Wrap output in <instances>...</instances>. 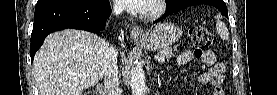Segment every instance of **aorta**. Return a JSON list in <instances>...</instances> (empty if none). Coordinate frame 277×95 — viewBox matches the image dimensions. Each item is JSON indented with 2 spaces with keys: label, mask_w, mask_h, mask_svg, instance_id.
Segmentation results:
<instances>
[{
  "label": "aorta",
  "mask_w": 277,
  "mask_h": 95,
  "mask_svg": "<svg viewBox=\"0 0 277 95\" xmlns=\"http://www.w3.org/2000/svg\"><path fill=\"white\" fill-rule=\"evenodd\" d=\"M145 81V74L142 66L140 64L133 65L130 78L132 95H146L147 87Z\"/></svg>",
  "instance_id": "obj_1"
}]
</instances>
